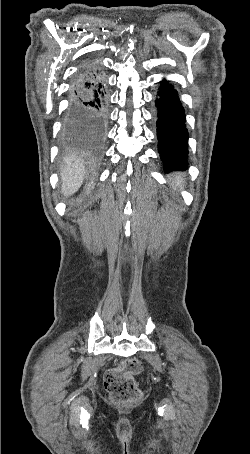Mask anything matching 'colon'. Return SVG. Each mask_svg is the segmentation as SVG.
I'll list each match as a JSON object with an SVG mask.
<instances>
[{
    "instance_id": "1",
    "label": "colon",
    "mask_w": 250,
    "mask_h": 454,
    "mask_svg": "<svg viewBox=\"0 0 250 454\" xmlns=\"http://www.w3.org/2000/svg\"><path fill=\"white\" fill-rule=\"evenodd\" d=\"M140 371L138 360L126 359L106 372L104 382L112 403L122 405L141 399L142 393L135 382V376Z\"/></svg>"
}]
</instances>
